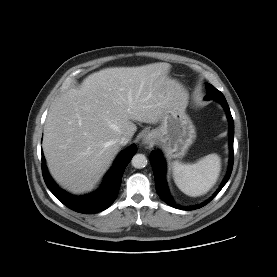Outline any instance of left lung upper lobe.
<instances>
[{"mask_svg": "<svg viewBox=\"0 0 277 277\" xmlns=\"http://www.w3.org/2000/svg\"><path fill=\"white\" fill-rule=\"evenodd\" d=\"M206 89H207V94L205 96V99L207 100L214 99L217 101L225 100L224 95L211 84L207 83Z\"/></svg>", "mask_w": 277, "mask_h": 277, "instance_id": "obj_1", "label": "left lung upper lobe"}]
</instances>
